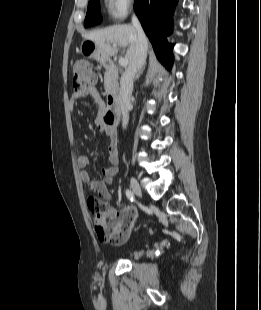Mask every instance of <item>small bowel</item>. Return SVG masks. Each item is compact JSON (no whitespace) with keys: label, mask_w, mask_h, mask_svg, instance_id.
Returning a JSON list of instances; mask_svg holds the SVG:
<instances>
[{"label":"small bowel","mask_w":261,"mask_h":310,"mask_svg":"<svg viewBox=\"0 0 261 310\" xmlns=\"http://www.w3.org/2000/svg\"><path fill=\"white\" fill-rule=\"evenodd\" d=\"M90 97L93 102L101 108L104 104L103 99L99 90L96 87H90L83 91L75 92L70 99V107H74V103L76 99ZM96 125L98 129L106 134L109 138L108 145V162L109 165L103 167V180H91L90 174L87 171V166L90 164V159L86 155H80L77 159L78 167L80 168V178L81 180L88 185V188L97 193L102 199L109 201L111 199V194L107 188V185L113 181V178L118 173V154H117V145H116V135L115 132L104 125L101 119L98 117L96 119ZM117 210L114 208L109 209L108 215L115 216L117 214Z\"/></svg>","instance_id":"c3829d8e"}]
</instances>
